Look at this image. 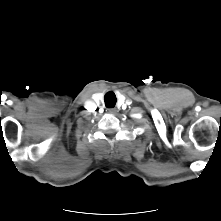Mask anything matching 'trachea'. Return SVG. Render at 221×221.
Returning a JSON list of instances; mask_svg holds the SVG:
<instances>
[{
    "mask_svg": "<svg viewBox=\"0 0 221 221\" xmlns=\"http://www.w3.org/2000/svg\"><path fill=\"white\" fill-rule=\"evenodd\" d=\"M106 107H114L116 104V95L113 92H108L104 97Z\"/></svg>",
    "mask_w": 221,
    "mask_h": 221,
    "instance_id": "obj_1",
    "label": "trachea"
}]
</instances>
